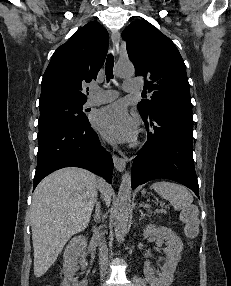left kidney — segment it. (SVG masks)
Wrapping results in <instances>:
<instances>
[{
    "mask_svg": "<svg viewBox=\"0 0 231 286\" xmlns=\"http://www.w3.org/2000/svg\"><path fill=\"white\" fill-rule=\"evenodd\" d=\"M145 237H155L156 243L162 245L165 241L166 262L162 267V272H154L150 261L144 264V275L151 286H170L173 281V275L176 266L181 259L183 242L180 237L171 229L154 224L147 225L143 230Z\"/></svg>",
    "mask_w": 231,
    "mask_h": 286,
    "instance_id": "obj_1",
    "label": "left kidney"
}]
</instances>
